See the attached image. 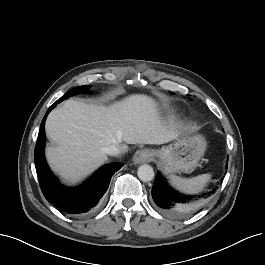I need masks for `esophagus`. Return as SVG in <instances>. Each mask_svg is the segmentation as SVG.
I'll use <instances>...</instances> for the list:
<instances>
[{"label":"esophagus","mask_w":265,"mask_h":265,"mask_svg":"<svg viewBox=\"0 0 265 265\" xmlns=\"http://www.w3.org/2000/svg\"><path fill=\"white\" fill-rule=\"evenodd\" d=\"M151 156H152V151L149 149L138 150L133 156V163L142 164L148 162L150 161Z\"/></svg>","instance_id":"34e87169"}]
</instances>
